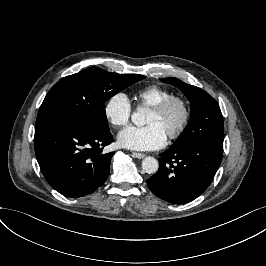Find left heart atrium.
<instances>
[{
    "mask_svg": "<svg viewBox=\"0 0 266 266\" xmlns=\"http://www.w3.org/2000/svg\"><path fill=\"white\" fill-rule=\"evenodd\" d=\"M118 140L126 148L153 150L162 147L167 140L164 130L157 124L129 126L119 133Z\"/></svg>",
    "mask_w": 266,
    "mask_h": 266,
    "instance_id": "1",
    "label": "left heart atrium"
}]
</instances>
